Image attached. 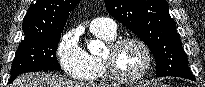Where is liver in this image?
Masks as SVG:
<instances>
[{"label":"liver","mask_w":205,"mask_h":87,"mask_svg":"<svg viewBox=\"0 0 205 87\" xmlns=\"http://www.w3.org/2000/svg\"><path fill=\"white\" fill-rule=\"evenodd\" d=\"M11 87H118L108 84H85L74 82L52 74L46 73H27L19 76Z\"/></svg>","instance_id":"6515ba94"}]
</instances>
